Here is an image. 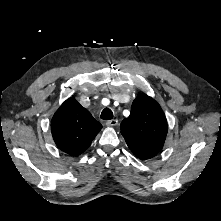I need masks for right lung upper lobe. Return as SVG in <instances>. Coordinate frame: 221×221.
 I'll use <instances>...</instances> for the list:
<instances>
[{"mask_svg": "<svg viewBox=\"0 0 221 221\" xmlns=\"http://www.w3.org/2000/svg\"><path fill=\"white\" fill-rule=\"evenodd\" d=\"M102 125L74 97L67 99L51 121L53 139L60 150L80 155L91 144Z\"/></svg>", "mask_w": 221, "mask_h": 221, "instance_id": "right-lung-upper-lobe-1", "label": "right lung upper lobe"}]
</instances>
